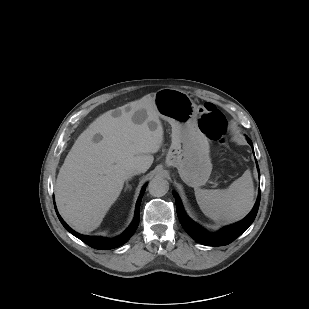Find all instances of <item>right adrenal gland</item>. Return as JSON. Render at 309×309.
I'll list each match as a JSON object with an SVG mask.
<instances>
[{
  "instance_id": "2a0ac1e0",
  "label": "right adrenal gland",
  "mask_w": 309,
  "mask_h": 309,
  "mask_svg": "<svg viewBox=\"0 0 309 309\" xmlns=\"http://www.w3.org/2000/svg\"><path fill=\"white\" fill-rule=\"evenodd\" d=\"M130 179L131 178H129L127 181H126V187H125V190L124 191H126V190H131L132 189V187L128 184V181H130Z\"/></svg>"
}]
</instances>
